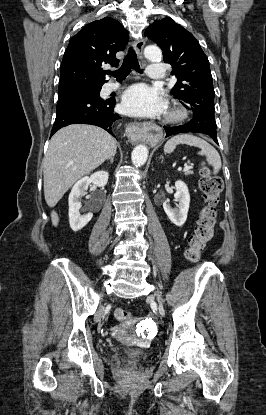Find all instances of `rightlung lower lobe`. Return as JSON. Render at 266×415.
I'll list each match as a JSON object with an SVG mask.
<instances>
[{"label": "right lung lower lobe", "instance_id": "1", "mask_svg": "<svg viewBox=\"0 0 266 415\" xmlns=\"http://www.w3.org/2000/svg\"><path fill=\"white\" fill-rule=\"evenodd\" d=\"M115 103L114 98L103 100L99 95L58 98L51 135L76 123L96 125L113 135L114 123L121 118L113 110Z\"/></svg>", "mask_w": 266, "mask_h": 415}]
</instances>
